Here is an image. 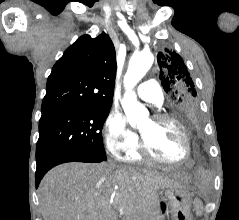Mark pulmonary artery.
Listing matches in <instances>:
<instances>
[{"label":"pulmonary artery","instance_id":"1","mask_svg":"<svg viewBox=\"0 0 239 220\" xmlns=\"http://www.w3.org/2000/svg\"><path fill=\"white\" fill-rule=\"evenodd\" d=\"M137 96L148 103L160 106L163 103V91L154 79L141 83L136 90Z\"/></svg>","mask_w":239,"mask_h":220}]
</instances>
